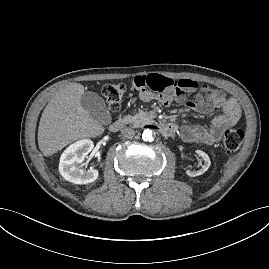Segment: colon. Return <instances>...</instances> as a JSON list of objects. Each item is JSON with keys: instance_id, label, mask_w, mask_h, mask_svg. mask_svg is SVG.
Here are the masks:
<instances>
[{"instance_id": "5ec220e1", "label": "colon", "mask_w": 269, "mask_h": 269, "mask_svg": "<svg viewBox=\"0 0 269 269\" xmlns=\"http://www.w3.org/2000/svg\"><path fill=\"white\" fill-rule=\"evenodd\" d=\"M126 87L121 83H109L103 86L102 93L112 112L120 109ZM244 139V132L241 129H229L224 133L223 144L228 153L237 151Z\"/></svg>"}]
</instances>
